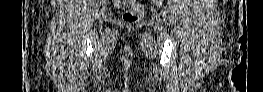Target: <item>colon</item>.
Wrapping results in <instances>:
<instances>
[{
  "mask_svg": "<svg viewBox=\"0 0 263 92\" xmlns=\"http://www.w3.org/2000/svg\"><path fill=\"white\" fill-rule=\"evenodd\" d=\"M130 9L123 14V20L127 23H135L139 21L144 13V8L142 1L140 0H131Z\"/></svg>",
  "mask_w": 263,
  "mask_h": 92,
  "instance_id": "5ec220e1",
  "label": "colon"
}]
</instances>
